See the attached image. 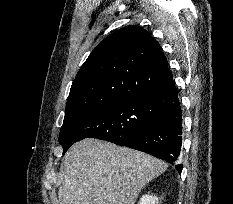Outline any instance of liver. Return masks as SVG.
Listing matches in <instances>:
<instances>
[{"instance_id":"1","label":"liver","mask_w":233,"mask_h":204,"mask_svg":"<svg viewBox=\"0 0 233 204\" xmlns=\"http://www.w3.org/2000/svg\"><path fill=\"white\" fill-rule=\"evenodd\" d=\"M167 164L146 153L83 139L64 157L59 204H135L141 189Z\"/></svg>"}]
</instances>
